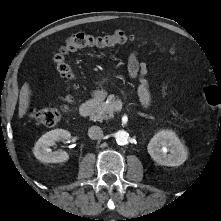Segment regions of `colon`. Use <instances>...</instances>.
I'll use <instances>...</instances> for the list:
<instances>
[{"mask_svg": "<svg viewBox=\"0 0 221 221\" xmlns=\"http://www.w3.org/2000/svg\"><path fill=\"white\" fill-rule=\"evenodd\" d=\"M131 38L132 37L127 35L123 30H116L111 34L101 36L86 33L74 34L65 40L55 54L54 62L56 69L61 77L70 80L74 77V74L71 66L65 60L67 53L83 48H112L126 43ZM170 51L175 53L176 47L174 45L170 46ZM202 95L210 108L221 105V93L216 87L205 86L202 90ZM72 102V96L67 95L65 104L60 108H33L30 111V116L39 124L52 127L60 122L63 114L70 111Z\"/></svg>", "mask_w": 221, "mask_h": 221, "instance_id": "5ec220e1", "label": "colon"}]
</instances>
